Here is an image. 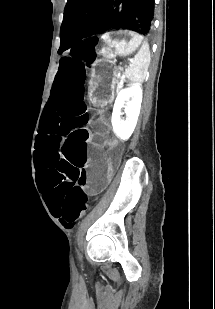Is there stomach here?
Wrapping results in <instances>:
<instances>
[{
  "instance_id": "stomach-1",
  "label": "stomach",
  "mask_w": 215,
  "mask_h": 309,
  "mask_svg": "<svg viewBox=\"0 0 215 309\" xmlns=\"http://www.w3.org/2000/svg\"><path fill=\"white\" fill-rule=\"evenodd\" d=\"M103 58L97 60L88 80L90 96L97 100H107L117 81L116 57H126L137 51L143 42V37L131 30L119 29L105 33L101 37Z\"/></svg>"
}]
</instances>
